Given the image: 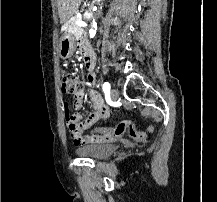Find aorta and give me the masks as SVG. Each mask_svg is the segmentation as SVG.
Here are the masks:
<instances>
[{"mask_svg": "<svg viewBox=\"0 0 217 202\" xmlns=\"http://www.w3.org/2000/svg\"><path fill=\"white\" fill-rule=\"evenodd\" d=\"M96 32H97V24H96L95 20H93V22L91 24V28L89 30L90 38H94V36H96Z\"/></svg>", "mask_w": 217, "mask_h": 202, "instance_id": "1", "label": "aorta"}]
</instances>
